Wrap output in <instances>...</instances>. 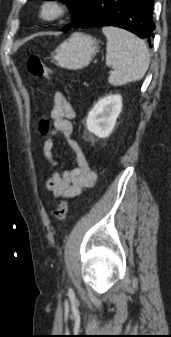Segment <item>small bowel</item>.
<instances>
[{"label": "small bowel", "mask_w": 171, "mask_h": 337, "mask_svg": "<svg viewBox=\"0 0 171 337\" xmlns=\"http://www.w3.org/2000/svg\"><path fill=\"white\" fill-rule=\"evenodd\" d=\"M50 113L53 119V131L43 144L44 158L52 167L58 165L53 153V141L55 135L60 132L74 152L77 166L62 171H54L47 180V192L55 198L73 199L84 188L91 187L94 184L96 173L89 166L79 143L72 138L73 125L71 120L76 116V112L63 93L59 91L53 93Z\"/></svg>", "instance_id": "obj_1"}]
</instances>
